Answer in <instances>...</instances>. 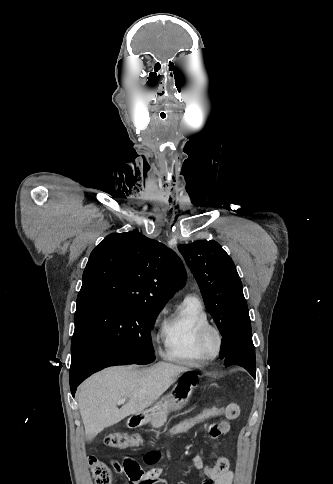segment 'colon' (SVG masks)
Segmentation results:
<instances>
[{"label": "colon", "mask_w": 333, "mask_h": 484, "mask_svg": "<svg viewBox=\"0 0 333 484\" xmlns=\"http://www.w3.org/2000/svg\"><path fill=\"white\" fill-rule=\"evenodd\" d=\"M222 416L221 407L211 406L190 415L173 424L166 432L167 437H178L184 435L194 428ZM104 443L112 448H126L142 443L140 435H128L125 433H110L104 438ZM92 476L95 484H112V474L110 469L101 461L94 457L89 458Z\"/></svg>", "instance_id": "obj_1"}]
</instances>
